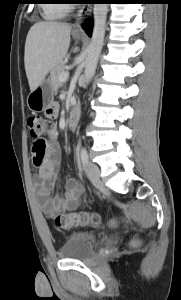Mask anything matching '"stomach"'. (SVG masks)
I'll return each mask as SVG.
<instances>
[{
  "instance_id": "0dacf381",
  "label": "stomach",
  "mask_w": 181,
  "mask_h": 300,
  "mask_svg": "<svg viewBox=\"0 0 181 300\" xmlns=\"http://www.w3.org/2000/svg\"><path fill=\"white\" fill-rule=\"evenodd\" d=\"M54 99V88L50 79H44L42 83L27 97V104L34 112L44 111Z\"/></svg>"
}]
</instances>
